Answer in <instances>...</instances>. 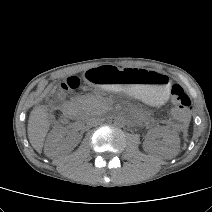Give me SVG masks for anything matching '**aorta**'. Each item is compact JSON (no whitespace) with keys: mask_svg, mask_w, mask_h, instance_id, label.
<instances>
[{"mask_svg":"<svg viewBox=\"0 0 212 212\" xmlns=\"http://www.w3.org/2000/svg\"><path fill=\"white\" fill-rule=\"evenodd\" d=\"M126 123V120L124 117L122 116H117L115 119H114V124L116 126H119V127H123Z\"/></svg>","mask_w":212,"mask_h":212,"instance_id":"1","label":"aorta"}]
</instances>
